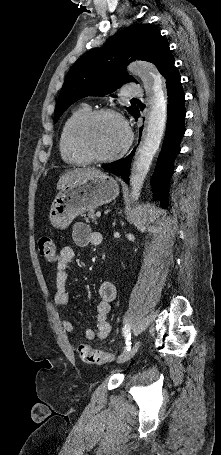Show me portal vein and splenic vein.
Here are the masks:
<instances>
[{
    "label": "portal vein and splenic vein",
    "instance_id": "portal-vein-and-splenic-vein-1",
    "mask_svg": "<svg viewBox=\"0 0 221 455\" xmlns=\"http://www.w3.org/2000/svg\"><path fill=\"white\" fill-rule=\"evenodd\" d=\"M96 216H97V217H100V216H101V213H100V212H97V213H96Z\"/></svg>",
    "mask_w": 221,
    "mask_h": 455
}]
</instances>
